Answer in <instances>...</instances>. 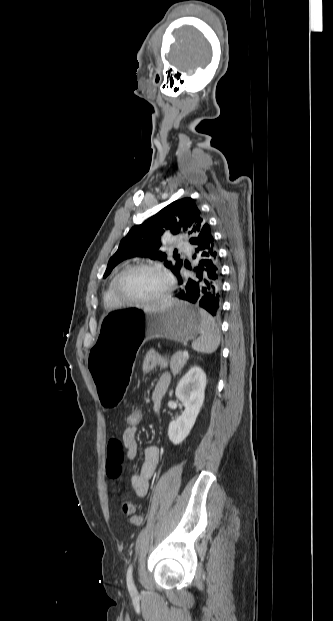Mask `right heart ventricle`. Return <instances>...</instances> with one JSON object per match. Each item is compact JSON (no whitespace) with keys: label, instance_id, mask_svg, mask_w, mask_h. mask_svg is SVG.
Masks as SVG:
<instances>
[{"label":"right heart ventricle","instance_id":"obj_1","mask_svg":"<svg viewBox=\"0 0 333 621\" xmlns=\"http://www.w3.org/2000/svg\"><path fill=\"white\" fill-rule=\"evenodd\" d=\"M117 275L118 274H115L110 279V281L108 282V285H107V287H106V289L104 291V294H103V302H104V305L107 308H115V307L119 306V303L116 300V297H115L114 292H113V282H114V280H115Z\"/></svg>","mask_w":333,"mask_h":621}]
</instances>
